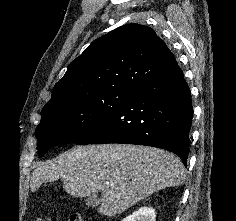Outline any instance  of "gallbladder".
<instances>
[{
  "label": "gallbladder",
  "instance_id": "1",
  "mask_svg": "<svg viewBox=\"0 0 236 221\" xmlns=\"http://www.w3.org/2000/svg\"><path fill=\"white\" fill-rule=\"evenodd\" d=\"M100 204V198L97 195L89 196L86 199V205L90 208H95Z\"/></svg>",
  "mask_w": 236,
  "mask_h": 221
}]
</instances>
